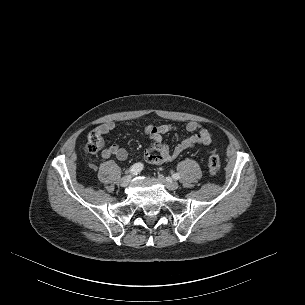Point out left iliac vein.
<instances>
[{"label":"left iliac vein","mask_w":305,"mask_h":305,"mask_svg":"<svg viewBox=\"0 0 305 305\" xmlns=\"http://www.w3.org/2000/svg\"><path fill=\"white\" fill-rule=\"evenodd\" d=\"M158 180L168 189V190H177L179 184L171 179L165 178L162 174L158 175Z\"/></svg>","instance_id":"4c4485c4"}]
</instances>
